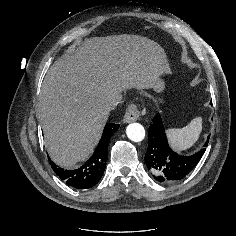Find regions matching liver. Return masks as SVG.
Segmentation results:
<instances>
[{
  "mask_svg": "<svg viewBox=\"0 0 236 236\" xmlns=\"http://www.w3.org/2000/svg\"><path fill=\"white\" fill-rule=\"evenodd\" d=\"M170 72L164 49L138 35L86 39L48 70L39 111L51 159L70 168L96 147L112 103L128 88H154Z\"/></svg>",
  "mask_w": 236,
  "mask_h": 236,
  "instance_id": "6515ba94",
  "label": "liver"
}]
</instances>
